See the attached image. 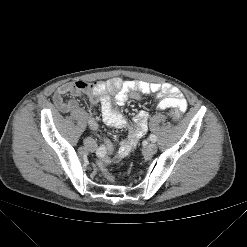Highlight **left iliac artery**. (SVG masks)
<instances>
[{"mask_svg":"<svg viewBox=\"0 0 247 247\" xmlns=\"http://www.w3.org/2000/svg\"><path fill=\"white\" fill-rule=\"evenodd\" d=\"M149 139L152 141V142H156L157 141V137L154 135V134H151L149 136Z\"/></svg>","mask_w":247,"mask_h":247,"instance_id":"obj_1","label":"left iliac artery"}]
</instances>
